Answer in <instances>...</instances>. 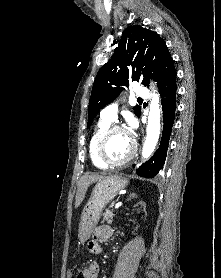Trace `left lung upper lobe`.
I'll use <instances>...</instances> for the list:
<instances>
[{
  "instance_id": "left-lung-upper-lobe-1",
  "label": "left lung upper lobe",
  "mask_w": 221,
  "mask_h": 278,
  "mask_svg": "<svg viewBox=\"0 0 221 278\" xmlns=\"http://www.w3.org/2000/svg\"><path fill=\"white\" fill-rule=\"evenodd\" d=\"M171 60L165 41L156 32L138 25L125 29L112 58L95 78L87 127L96 113L128 86L129 80L139 81L143 77L142 84L148 86L149 79L155 80ZM134 113L139 117L141 108L135 106Z\"/></svg>"
}]
</instances>
